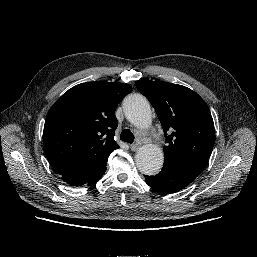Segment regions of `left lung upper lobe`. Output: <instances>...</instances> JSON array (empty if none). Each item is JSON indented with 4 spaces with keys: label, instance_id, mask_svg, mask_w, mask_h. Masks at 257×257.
Wrapping results in <instances>:
<instances>
[{
    "label": "left lung upper lobe",
    "instance_id": "obj_1",
    "mask_svg": "<svg viewBox=\"0 0 257 257\" xmlns=\"http://www.w3.org/2000/svg\"><path fill=\"white\" fill-rule=\"evenodd\" d=\"M162 124L164 163L185 168L197 176L206 167L214 146V123L205 101L191 89L168 82L138 80Z\"/></svg>",
    "mask_w": 257,
    "mask_h": 257
}]
</instances>
